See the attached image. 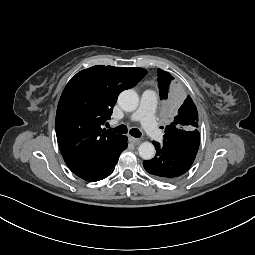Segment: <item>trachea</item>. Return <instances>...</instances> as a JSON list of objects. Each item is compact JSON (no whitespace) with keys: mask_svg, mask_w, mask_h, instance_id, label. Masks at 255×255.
I'll list each match as a JSON object with an SVG mask.
<instances>
[{"mask_svg":"<svg viewBox=\"0 0 255 255\" xmlns=\"http://www.w3.org/2000/svg\"><path fill=\"white\" fill-rule=\"evenodd\" d=\"M114 131L117 132V133H120V134H126L128 130H127V127L125 125H120V126L114 128ZM129 133L133 137H136V138H139L141 136V132L136 128L131 129L129 131Z\"/></svg>","mask_w":255,"mask_h":255,"instance_id":"obj_1","label":"trachea"}]
</instances>
